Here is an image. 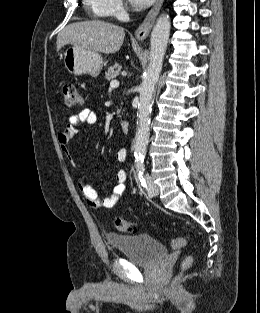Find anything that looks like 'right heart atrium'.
<instances>
[{"label":"right heart atrium","instance_id":"1","mask_svg":"<svg viewBox=\"0 0 260 313\" xmlns=\"http://www.w3.org/2000/svg\"><path fill=\"white\" fill-rule=\"evenodd\" d=\"M107 10V15L120 18L123 16L125 6L123 0H104Z\"/></svg>","mask_w":260,"mask_h":313}]
</instances>
